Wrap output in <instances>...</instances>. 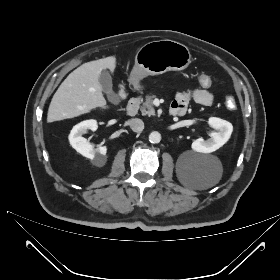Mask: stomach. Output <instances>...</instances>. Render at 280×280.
Segmentation results:
<instances>
[{"label":"stomach","instance_id":"obj_1","mask_svg":"<svg viewBox=\"0 0 280 280\" xmlns=\"http://www.w3.org/2000/svg\"><path fill=\"white\" fill-rule=\"evenodd\" d=\"M190 63L191 54L185 45L169 39L152 41L138 50L129 82L140 89L143 78L171 70H184Z\"/></svg>","mask_w":280,"mask_h":280}]
</instances>
